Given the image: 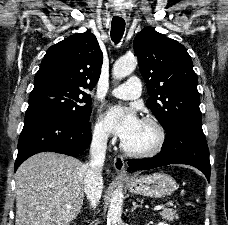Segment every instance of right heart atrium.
Returning <instances> with one entry per match:
<instances>
[{"instance_id":"1","label":"right heart atrium","mask_w":228,"mask_h":225,"mask_svg":"<svg viewBox=\"0 0 228 225\" xmlns=\"http://www.w3.org/2000/svg\"><path fill=\"white\" fill-rule=\"evenodd\" d=\"M93 137L99 143H106L110 138V132L101 117L96 120L93 128Z\"/></svg>"}]
</instances>
